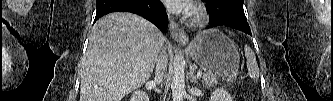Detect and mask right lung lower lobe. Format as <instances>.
Segmentation results:
<instances>
[{"label":"right lung lower lobe","instance_id":"1","mask_svg":"<svg viewBox=\"0 0 333 101\" xmlns=\"http://www.w3.org/2000/svg\"><path fill=\"white\" fill-rule=\"evenodd\" d=\"M96 7L94 22L105 14L122 11L140 15L161 30L168 26V17L160 0H97Z\"/></svg>","mask_w":333,"mask_h":101}]
</instances>
